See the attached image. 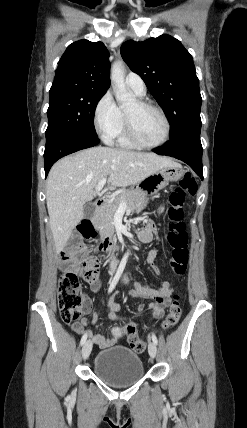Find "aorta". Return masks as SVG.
<instances>
[{
    "label": "aorta",
    "mask_w": 247,
    "mask_h": 428,
    "mask_svg": "<svg viewBox=\"0 0 247 428\" xmlns=\"http://www.w3.org/2000/svg\"><path fill=\"white\" fill-rule=\"evenodd\" d=\"M111 81L114 85L115 97L122 107L130 105L134 98L128 92L124 78V66L121 61H117L113 64L111 69ZM128 254V253H127Z\"/></svg>",
    "instance_id": "aorta-1"
}]
</instances>
